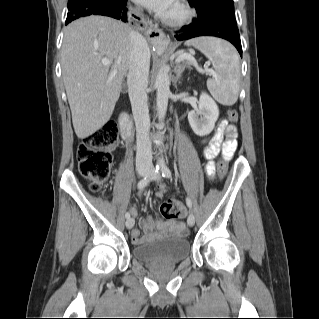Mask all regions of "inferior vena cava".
I'll return each instance as SVG.
<instances>
[{"label": "inferior vena cava", "instance_id": "inferior-vena-cava-1", "mask_svg": "<svg viewBox=\"0 0 319 319\" xmlns=\"http://www.w3.org/2000/svg\"><path fill=\"white\" fill-rule=\"evenodd\" d=\"M150 67V50L146 39L136 31L130 32L128 93L136 125V168H152V145L149 139L150 118L146 88Z\"/></svg>", "mask_w": 319, "mask_h": 319}]
</instances>
